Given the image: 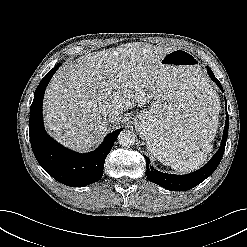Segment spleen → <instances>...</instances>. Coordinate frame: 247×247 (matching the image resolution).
<instances>
[{
  "instance_id": "1",
  "label": "spleen",
  "mask_w": 247,
  "mask_h": 247,
  "mask_svg": "<svg viewBox=\"0 0 247 247\" xmlns=\"http://www.w3.org/2000/svg\"><path fill=\"white\" fill-rule=\"evenodd\" d=\"M212 150L213 146L209 142H206L202 146V151H196L188 160L177 161L170 164V166L172 169L182 173L194 171L205 163L207 155L211 153Z\"/></svg>"
}]
</instances>
